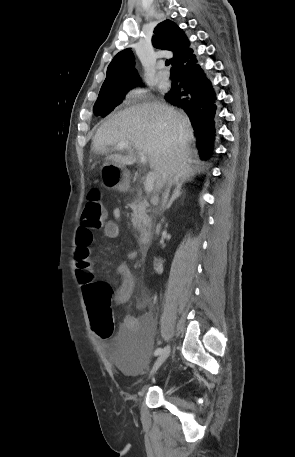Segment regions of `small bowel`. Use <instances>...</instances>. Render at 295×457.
<instances>
[{"label":"small bowel","mask_w":295,"mask_h":457,"mask_svg":"<svg viewBox=\"0 0 295 457\" xmlns=\"http://www.w3.org/2000/svg\"><path fill=\"white\" fill-rule=\"evenodd\" d=\"M114 220H109L104 224V235L109 239H117L120 236L119 220L121 211L119 208L112 210ZM93 242V233L91 229L79 227L76 235V257L81 254H89L90 245ZM129 256H135V251H131ZM117 275L121 280V284L116 292V302L119 305H125L131 298L135 288V278L130 268L126 264H120L117 267ZM79 278V276L77 275ZM80 279V278H79ZM138 307L144 311L141 317L126 315L123 319L120 328V337L124 338L131 334L145 332L151 334L155 325L154 312L149 307L145 300H140Z\"/></svg>","instance_id":"1"}]
</instances>
